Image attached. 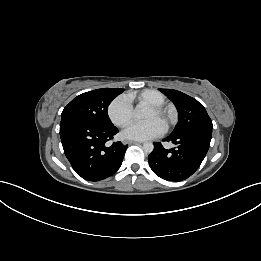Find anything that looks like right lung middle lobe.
Wrapping results in <instances>:
<instances>
[{
  "instance_id": "dd1d6c3e",
  "label": "right lung middle lobe",
  "mask_w": 261,
  "mask_h": 261,
  "mask_svg": "<svg viewBox=\"0 0 261 261\" xmlns=\"http://www.w3.org/2000/svg\"><path fill=\"white\" fill-rule=\"evenodd\" d=\"M121 88H102L80 94L63 110L62 118H71L99 126H111L107 110Z\"/></svg>"
}]
</instances>
